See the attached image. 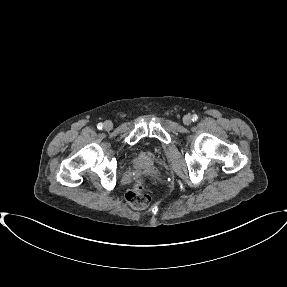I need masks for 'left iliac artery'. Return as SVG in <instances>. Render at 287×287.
Listing matches in <instances>:
<instances>
[{
    "label": "left iliac artery",
    "instance_id": "44dca946",
    "mask_svg": "<svg viewBox=\"0 0 287 287\" xmlns=\"http://www.w3.org/2000/svg\"><path fill=\"white\" fill-rule=\"evenodd\" d=\"M192 120H193V121H197V120H198V116H197L196 114H194V115L192 116Z\"/></svg>",
    "mask_w": 287,
    "mask_h": 287
}]
</instances>
